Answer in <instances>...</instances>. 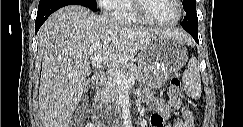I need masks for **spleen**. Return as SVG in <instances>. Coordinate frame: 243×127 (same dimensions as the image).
<instances>
[{"mask_svg":"<svg viewBox=\"0 0 243 127\" xmlns=\"http://www.w3.org/2000/svg\"><path fill=\"white\" fill-rule=\"evenodd\" d=\"M185 92L193 99L197 100L201 96V77L199 63L196 58H191L187 69L182 76Z\"/></svg>","mask_w":243,"mask_h":127,"instance_id":"1","label":"spleen"}]
</instances>
